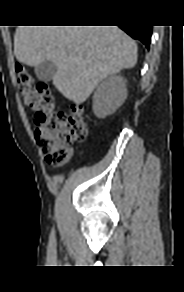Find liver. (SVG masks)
<instances>
[{
  "label": "liver",
  "instance_id": "liver-1",
  "mask_svg": "<svg viewBox=\"0 0 184 292\" xmlns=\"http://www.w3.org/2000/svg\"><path fill=\"white\" fill-rule=\"evenodd\" d=\"M14 54L25 65L53 62V85L82 104L107 76L137 63V45L117 26H19Z\"/></svg>",
  "mask_w": 184,
  "mask_h": 292
}]
</instances>
